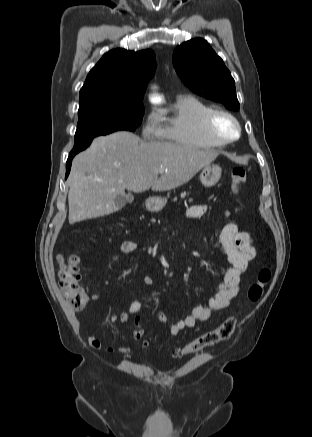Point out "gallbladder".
<instances>
[{"mask_svg":"<svg viewBox=\"0 0 312 437\" xmlns=\"http://www.w3.org/2000/svg\"><path fill=\"white\" fill-rule=\"evenodd\" d=\"M134 200L132 195H128V197L125 199L124 197H117L116 198V207L117 209H121L123 206H125L126 202L131 203Z\"/></svg>","mask_w":312,"mask_h":437,"instance_id":"1","label":"gallbladder"}]
</instances>
